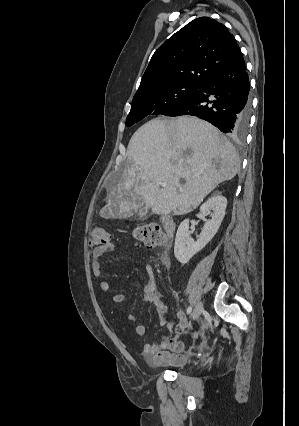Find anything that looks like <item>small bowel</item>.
<instances>
[{"label":"small bowel","instance_id":"c3829d8e","mask_svg":"<svg viewBox=\"0 0 299 426\" xmlns=\"http://www.w3.org/2000/svg\"><path fill=\"white\" fill-rule=\"evenodd\" d=\"M118 251L116 244L109 242L107 245L98 247L91 252V270L92 275L100 279L103 276L102 257L107 254H114ZM147 274V281L144 285V300L148 303H153L158 311L160 325L165 326L170 333H175L158 344H145L142 349L143 359L154 366H173L182 367L186 363L187 356L190 352L185 348V345L178 340V336L183 332L187 325V321L183 312L177 313L178 325L175 327L167 318V306L156 292V283L153 269L150 265L144 266ZM110 283L107 280L100 282V289L104 292L108 291ZM126 301V295L117 293L113 296V302L121 305ZM131 323H137V316L131 312L126 315ZM135 332L138 336H143L146 333V327L142 324H137Z\"/></svg>","mask_w":299,"mask_h":426}]
</instances>
